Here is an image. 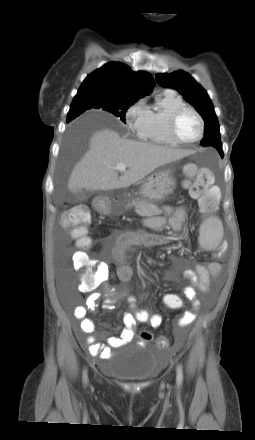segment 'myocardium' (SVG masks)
Here are the masks:
<instances>
[{
    "mask_svg": "<svg viewBox=\"0 0 255 440\" xmlns=\"http://www.w3.org/2000/svg\"><path fill=\"white\" fill-rule=\"evenodd\" d=\"M187 111L192 112L197 117V119L199 121V127H200L198 136L191 141L182 140L177 133L178 120H179L180 116L184 112H187ZM204 130H205V122H204L203 117L195 108L188 106V105L181 106V107L177 108L176 110H174L171 113L169 120H168V131H169L170 137L172 138V140L176 144L186 145V146L193 145V144L199 142L203 138Z\"/></svg>",
    "mask_w": 255,
    "mask_h": 440,
    "instance_id": "f54148a6",
    "label": "myocardium"
}]
</instances>
